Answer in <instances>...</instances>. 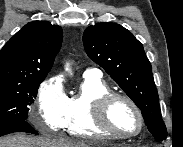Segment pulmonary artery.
I'll return each instance as SVG.
<instances>
[{
    "instance_id": "pulmonary-artery-1",
    "label": "pulmonary artery",
    "mask_w": 183,
    "mask_h": 147,
    "mask_svg": "<svg viewBox=\"0 0 183 147\" xmlns=\"http://www.w3.org/2000/svg\"><path fill=\"white\" fill-rule=\"evenodd\" d=\"M83 76L85 78L100 79L102 77V72L98 68H88L84 71Z\"/></svg>"
}]
</instances>
